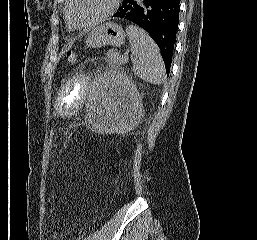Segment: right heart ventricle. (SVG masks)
Returning <instances> with one entry per match:
<instances>
[{
	"label": "right heart ventricle",
	"instance_id": "right-heart-ventricle-1",
	"mask_svg": "<svg viewBox=\"0 0 257 240\" xmlns=\"http://www.w3.org/2000/svg\"><path fill=\"white\" fill-rule=\"evenodd\" d=\"M67 28H68L69 30H73V27H72L69 23H67Z\"/></svg>",
	"mask_w": 257,
	"mask_h": 240
}]
</instances>
